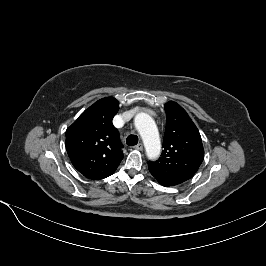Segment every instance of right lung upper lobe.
Returning <instances> with one entry per match:
<instances>
[{"label": "right lung upper lobe", "instance_id": "right-lung-upper-lobe-1", "mask_svg": "<svg viewBox=\"0 0 266 266\" xmlns=\"http://www.w3.org/2000/svg\"><path fill=\"white\" fill-rule=\"evenodd\" d=\"M119 110L113 97L95 102L66 130V150L73 166L86 178L104 179L123 159L118 130L112 119Z\"/></svg>", "mask_w": 266, "mask_h": 266}]
</instances>
